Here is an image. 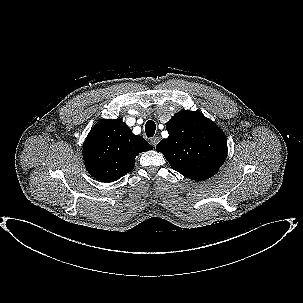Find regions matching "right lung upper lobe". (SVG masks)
I'll return each mask as SVG.
<instances>
[{"instance_id":"1","label":"right lung upper lobe","mask_w":303,"mask_h":303,"mask_svg":"<svg viewBox=\"0 0 303 303\" xmlns=\"http://www.w3.org/2000/svg\"><path fill=\"white\" fill-rule=\"evenodd\" d=\"M153 147L134 135L120 119H103L88 134L83 157L88 172L102 182H113L134 168L135 157Z\"/></svg>"}]
</instances>
